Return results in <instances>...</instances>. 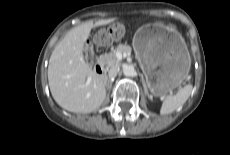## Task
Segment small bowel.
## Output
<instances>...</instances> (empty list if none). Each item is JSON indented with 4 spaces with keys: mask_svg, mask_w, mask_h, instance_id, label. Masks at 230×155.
<instances>
[{
    "mask_svg": "<svg viewBox=\"0 0 230 155\" xmlns=\"http://www.w3.org/2000/svg\"><path fill=\"white\" fill-rule=\"evenodd\" d=\"M146 23L155 27H164L170 34L178 33V28L167 20H158L153 17H147Z\"/></svg>",
    "mask_w": 230,
    "mask_h": 155,
    "instance_id": "small-bowel-1",
    "label": "small bowel"
}]
</instances>
